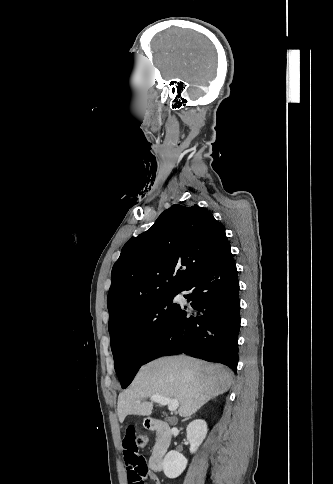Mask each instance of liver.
I'll return each mask as SVG.
<instances>
[{"mask_svg": "<svg viewBox=\"0 0 333 484\" xmlns=\"http://www.w3.org/2000/svg\"><path fill=\"white\" fill-rule=\"evenodd\" d=\"M232 381V374L222 365L188 356L159 358L144 365L119 394V421L123 423L127 415H151L153 403L145 399L156 394L177 399L179 415L190 417L210 399L227 392Z\"/></svg>", "mask_w": 333, "mask_h": 484, "instance_id": "6515ba94", "label": "liver"}]
</instances>
